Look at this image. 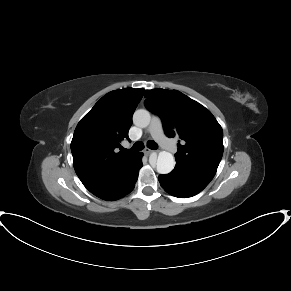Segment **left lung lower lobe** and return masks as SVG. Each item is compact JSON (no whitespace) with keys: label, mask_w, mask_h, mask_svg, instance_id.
<instances>
[{"label":"left lung lower lobe","mask_w":291,"mask_h":291,"mask_svg":"<svg viewBox=\"0 0 291 291\" xmlns=\"http://www.w3.org/2000/svg\"><path fill=\"white\" fill-rule=\"evenodd\" d=\"M215 172L189 167L180 163L172 172L159 175L162 188L178 198H187L201 192L213 179Z\"/></svg>","instance_id":"obj_1"}]
</instances>
